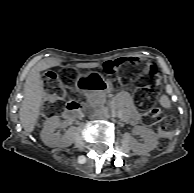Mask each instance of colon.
Returning a JSON list of instances; mask_svg holds the SVG:
<instances>
[{
    "label": "colon",
    "instance_id": "1",
    "mask_svg": "<svg viewBox=\"0 0 194 193\" xmlns=\"http://www.w3.org/2000/svg\"><path fill=\"white\" fill-rule=\"evenodd\" d=\"M103 70L108 75L120 73L124 81L138 79L141 82L150 81L149 84L139 86L137 102L141 109L147 111L151 122L157 127L162 142L169 139L174 131V120L165 116L162 111L153 106L157 93L158 70L155 65L143 66L141 62L135 59H116L107 61L103 65ZM71 69H63L60 73L48 72L43 79L46 104L44 106L45 114H52L60 110L67 95L66 87L73 79ZM39 122L45 120V116H39Z\"/></svg>",
    "mask_w": 194,
    "mask_h": 193
}]
</instances>
